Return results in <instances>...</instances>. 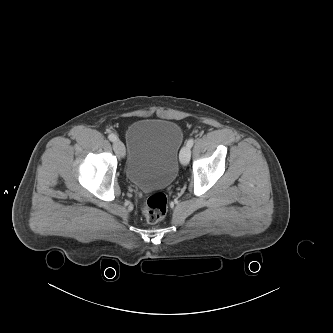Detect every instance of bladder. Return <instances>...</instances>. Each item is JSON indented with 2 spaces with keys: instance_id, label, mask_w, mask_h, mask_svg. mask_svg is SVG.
I'll return each mask as SVG.
<instances>
[{
  "instance_id": "bladder-1",
  "label": "bladder",
  "mask_w": 333,
  "mask_h": 333,
  "mask_svg": "<svg viewBox=\"0 0 333 333\" xmlns=\"http://www.w3.org/2000/svg\"><path fill=\"white\" fill-rule=\"evenodd\" d=\"M181 126L171 120L142 119L127 130L125 175L142 190L168 187L178 173V154L183 144Z\"/></svg>"
}]
</instances>
